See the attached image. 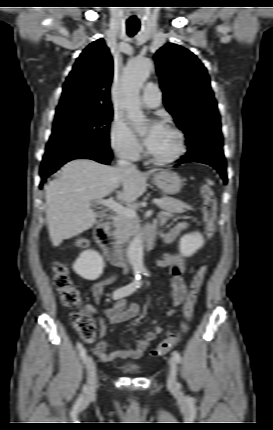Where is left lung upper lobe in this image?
Segmentation results:
<instances>
[{"instance_id": "left-lung-upper-lobe-1", "label": "left lung upper lobe", "mask_w": 273, "mask_h": 430, "mask_svg": "<svg viewBox=\"0 0 273 430\" xmlns=\"http://www.w3.org/2000/svg\"><path fill=\"white\" fill-rule=\"evenodd\" d=\"M166 109L187 140L204 128L220 130V115L206 68L189 50L168 43L155 53Z\"/></svg>"}]
</instances>
